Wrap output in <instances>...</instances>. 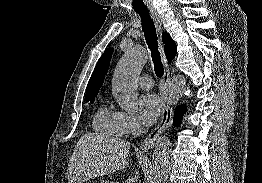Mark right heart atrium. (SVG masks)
<instances>
[{
	"label": "right heart atrium",
	"mask_w": 262,
	"mask_h": 183,
	"mask_svg": "<svg viewBox=\"0 0 262 183\" xmlns=\"http://www.w3.org/2000/svg\"><path fill=\"white\" fill-rule=\"evenodd\" d=\"M121 122L126 134H136L139 130L137 119L130 113L120 112Z\"/></svg>",
	"instance_id": "obj_1"
}]
</instances>
